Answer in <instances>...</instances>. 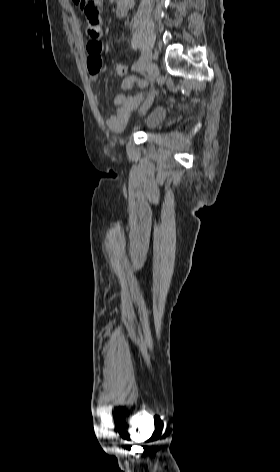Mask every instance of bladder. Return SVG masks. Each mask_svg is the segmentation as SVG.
Masks as SVG:
<instances>
[{
  "instance_id": "31cf9c89",
  "label": "bladder",
  "mask_w": 280,
  "mask_h": 472,
  "mask_svg": "<svg viewBox=\"0 0 280 472\" xmlns=\"http://www.w3.org/2000/svg\"><path fill=\"white\" fill-rule=\"evenodd\" d=\"M165 118V111L162 108H155L146 113L138 114L137 119L141 128L150 131L158 127Z\"/></svg>"
}]
</instances>
